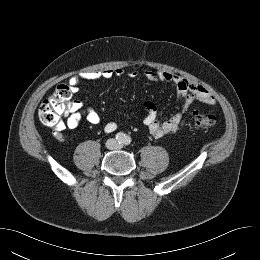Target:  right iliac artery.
<instances>
[{
	"label": "right iliac artery",
	"mask_w": 260,
	"mask_h": 260,
	"mask_svg": "<svg viewBox=\"0 0 260 260\" xmlns=\"http://www.w3.org/2000/svg\"><path fill=\"white\" fill-rule=\"evenodd\" d=\"M124 138H125V135L123 133H118L116 135V140L119 142V143H122L124 142Z\"/></svg>",
	"instance_id": "right-iliac-artery-1"
}]
</instances>
